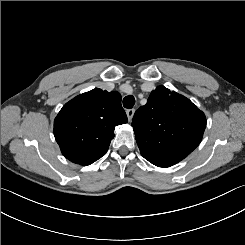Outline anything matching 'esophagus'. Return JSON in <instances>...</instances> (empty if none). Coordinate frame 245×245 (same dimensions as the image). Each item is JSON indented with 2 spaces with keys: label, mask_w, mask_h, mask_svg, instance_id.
<instances>
[{
  "label": "esophagus",
  "mask_w": 245,
  "mask_h": 245,
  "mask_svg": "<svg viewBox=\"0 0 245 245\" xmlns=\"http://www.w3.org/2000/svg\"><path fill=\"white\" fill-rule=\"evenodd\" d=\"M134 112L135 110L134 109H129L126 111V114H127V117H128V120L131 121L132 120V117L134 115Z\"/></svg>",
  "instance_id": "esophagus-1"
}]
</instances>
